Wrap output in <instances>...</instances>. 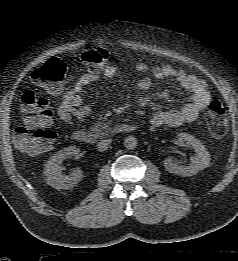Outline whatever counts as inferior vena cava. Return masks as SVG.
I'll return each instance as SVG.
<instances>
[{"mask_svg":"<svg viewBox=\"0 0 238 261\" xmlns=\"http://www.w3.org/2000/svg\"><path fill=\"white\" fill-rule=\"evenodd\" d=\"M110 143H111V139L102 140L97 144V148L99 151H105L108 149Z\"/></svg>","mask_w":238,"mask_h":261,"instance_id":"inferior-vena-cava-1","label":"inferior vena cava"}]
</instances>
